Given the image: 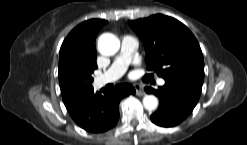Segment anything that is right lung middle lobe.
<instances>
[{"label": "right lung middle lobe", "instance_id": "dd1d6c3e", "mask_svg": "<svg viewBox=\"0 0 247 145\" xmlns=\"http://www.w3.org/2000/svg\"><path fill=\"white\" fill-rule=\"evenodd\" d=\"M96 68L97 66L72 61L59 67V84L64 102L93 88L91 85L93 82L92 73Z\"/></svg>", "mask_w": 247, "mask_h": 145}]
</instances>
